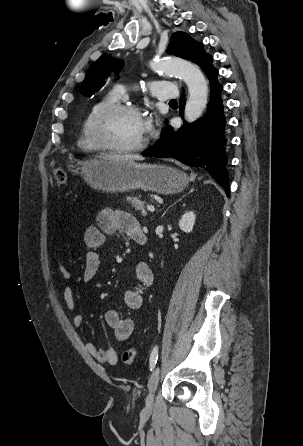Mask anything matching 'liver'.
Returning a JSON list of instances; mask_svg holds the SVG:
<instances>
[{"label":"liver","instance_id":"1","mask_svg":"<svg viewBox=\"0 0 303 446\" xmlns=\"http://www.w3.org/2000/svg\"><path fill=\"white\" fill-rule=\"evenodd\" d=\"M103 159L118 161V160H143L144 158L139 155H103Z\"/></svg>","mask_w":303,"mask_h":446}]
</instances>
